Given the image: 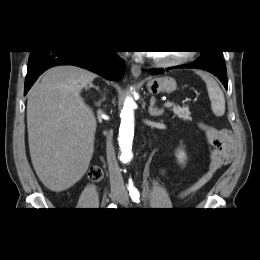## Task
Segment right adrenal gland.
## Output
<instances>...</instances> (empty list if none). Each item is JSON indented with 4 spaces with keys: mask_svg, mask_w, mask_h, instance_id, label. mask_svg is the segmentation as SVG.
<instances>
[{
    "mask_svg": "<svg viewBox=\"0 0 260 260\" xmlns=\"http://www.w3.org/2000/svg\"><path fill=\"white\" fill-rule=\"evenodd\" d=\"M91 88H94V89H96L97 91H100L99 87L93 85L92 83H90L89 86L86 87L85 89L88 90V89H91ZM104 100H106V97H105V96H103V98H102L99 102H95L96 106L100 107L101 102L104 101Z\"/></svg>",
    "mask_w": 260,
    "mask_h": 260,
    "instance_id": "obj_1",
    "label": "right adrenal gland"
}]
</instances>
